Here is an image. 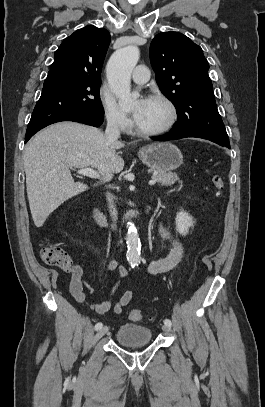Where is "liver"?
<instances>
[{
	"label": "liver",
	"instance_id": "6515ba94",
	"mask_svg": "<svg viewBox=\"0 0 265 407\" xmlns=\"http://www.w3.org/2000/svg\"><path fill=\"white\" fill-rule=\"evenodd\" d=\"M121 141H109L95 127L59 122L37 133L24 152L26 187L31 215L36 227L68 199L88 189L74 182L71 168L92 167L103 180H110L124 168L116 152Z\"/></svg>",
	"mask_w": 265,
	"mask_h": 407
}]
</instances>
